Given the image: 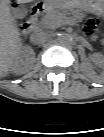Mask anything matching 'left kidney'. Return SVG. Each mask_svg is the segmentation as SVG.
<instances>
[{"label":"left kidney","instance_id":"obj_1","mask_svg":"<svg viewBox=\"0 0 104 137\" xmlns=\"http://www.w3.org/2000/svg\"><path fill=\"white\" fill-rule=\"evenodd\" d=\"M92 61L99 65L102 66L104 64V58L103 55L99 54V53H95L92 55ZM83 65H89V62H83Z\"/></svg>","mask_w":104,"mask_h":137}]
</instances>
